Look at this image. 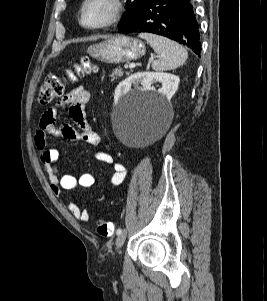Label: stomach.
Segmentation results:
<instances>
[{"mask_svg":"<svg viewBox=\"0 0 267 301\" xmlns=\"http://www.w3.org/2000/svg\"><path fill=\"white\" fill-rule=\"evenodd\" d=\"M144 43L136 38L117 35L88 47L87 53L105 63H122L137 60L145 55Z\"/></svg>","mask_w":267,"mask_h":301,"instance_id":"obj_1","label":"stomach"}]
</instances>
